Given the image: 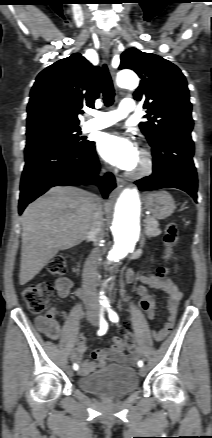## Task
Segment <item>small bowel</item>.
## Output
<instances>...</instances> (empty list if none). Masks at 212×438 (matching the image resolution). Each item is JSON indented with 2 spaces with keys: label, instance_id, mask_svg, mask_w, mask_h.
Listing matches in <instances>:
<instances>
[{
  "label": "small bowel",
  "instance_id": "obj_1",
  "mask_svg": "<svg viewBox=\"0 0 212 438\" xmlns=\"http://www.w3.org/2000/svg\"><path fill=\"white\" fill-rule=\"evenodd\" d=\"M136 279L133 271L127 272V280L133 282ZM141 283L148 285L152 288L162 289L168 295V316L167 321L164 323L161 329H159L155 335L157 339H164L172 330L174 322L177 316L178 307L182 300L183 294L179 286L171 280H161L155 274L141 275L137 278ZM56 290L61 298L69 296L72 282L67 277H60L56 280ZM137 293L142 297L148 293L144 286L137 287ZM58 310L51 308L46 315L37 319V324L40 330L45 333L51 339H57L60 335L61 328L56 320ZM149 319L154 318V308L148 314ZM87 349L86 341L83 338H78L77 347L72 352V358L76 361H80V375L84 376L92 372L95 368V364L91 361H81L83 353ZM125 347L123 342L116 338L112 344L105 349H96L92 351V357L99 361H113L122 364H133L142 355L140 351H132L129 355L125 354Z\"/></svg>",
  "mask_w": 212,
  "mask_h": 438
}]
</instances>
